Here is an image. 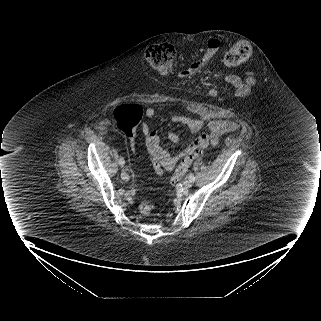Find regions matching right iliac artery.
I'll return each instance as SVG.
<instances>
[{
    "mask_svg": "<svg viewBox=\"0 0 321 321\" xmlns=\"http://www.w3.org/2000/svg\"><path fill=\"white\" fill-rule=\"evenodd\" d=\"M124 164H125L124 159L120 158V159H119V165L123 166Z\"/></svg>",
    "mask_w": 321,
    "mask_h": 321,
    "instance_id": "right-iliac-artery-1",
    "label": "right iliac artery"
}]
</instances>
